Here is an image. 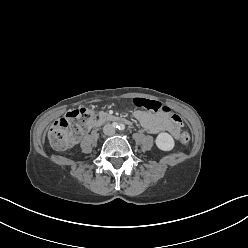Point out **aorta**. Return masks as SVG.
Returning a JSON list of instances; mask_svg holds the SVG:
<instances>
[{
	"label": "aorta",
	"mask_w": 248,
	"mask_h": 248,
	"mask_svg": "<svg viewBox=\"0 0 248 248\" xmlns=\"http://www.w3.org/2000/svg\"><path fill=\"white\" fill-rule=\"evenodd\" d=\"M119 129H121L122 127H123V125L122 124H120V125H118L117 126Z\"/></svg>",
	"instance_id": "1"
}]
</instances>
